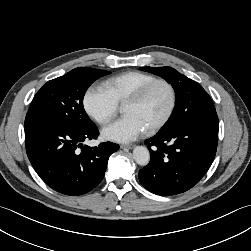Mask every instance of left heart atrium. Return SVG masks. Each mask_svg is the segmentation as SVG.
Instances as JSON below:
<instances>
[{"label":"left heart atrium","instance_id":"1","mask_svg":"<svg viewBox=\"0 0 251 251\" xmlns=\"http://www.w3.org/2000/svg\"><path fill=\"white\" fill-rule=\"evenodd\" d=\"M146 128L134 116L125 115L102 130L106 140L127 143L136 140L144 134Z\"/></svg>","mask_w":251,"mask_h":251}]
</instances>
